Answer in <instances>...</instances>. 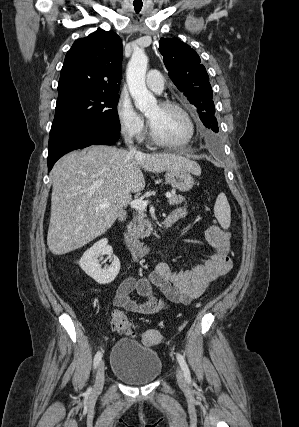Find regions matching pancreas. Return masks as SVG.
Returning <instances> with one entry per match:
<instances>
[{"label":"pancreas","mask_w":299,"mask_h":427,"mask_svg":"<svg viewBox=\"0 0 299 427\" xmlns=\"http://www.w3.org/2000/svg\"><path fill=\"white\" fill-rule=\"evenodd\" d=\"M168 201L170 205H178L184 202L185 199L181 195L172 193ZM127 230V236L132 241H137L140 238L143 239L150 235L152 226L151 222L147 219L145 211H138V213L134 216L133 221L128 225Z\"/></svg>","instance_id":"obj_1"}]
</instances>
